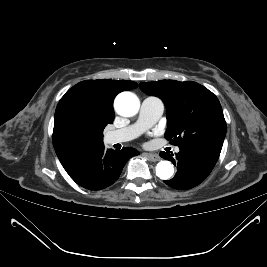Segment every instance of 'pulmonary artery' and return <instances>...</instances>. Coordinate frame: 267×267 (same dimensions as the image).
I'll return each mask as SVG.
<instances>
[{
	"mask_svg": "<svg viewBox=\"0 0 267 267\" xmlns=\"http://www.w3.org/2000/svg\"><path fill=\"white\" fill-rule=\"evenodd\" d=\"M164 112V104L157 97H147L142 101L137 121L122 129L114 130L106 135L110 144L130 141L155 124ZM179 152V148H175Z\"/></svg>",
	"mask_w": 267,
	"mask_h": 267,
	"instance_id": "obj_1",
	"label": "pulmonary artery"
}]
</instances>
